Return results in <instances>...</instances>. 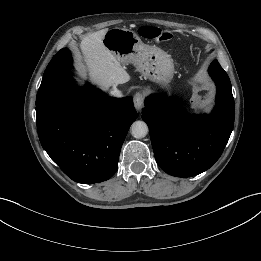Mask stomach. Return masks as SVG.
I'll return each mask as SVG.
<instances>
[{
	"mask_svg": "<svg viewBox=\"0 0 261 261\" xmlns=\"http://www.w3.org/2000/svg\"><path fill=\"white\" fill-rule=\"evenodd\" d=\"M102 41L122 65L133 64L145 78L166 91L170 90L174 65L166 52L144 44L134 31L127 28L109 29Z\"/></svg>",
	"mask_w": 261,
	"mask_h": 261,
	"instance_id": "obj_1",
	"label": "stomach"
}]
</instances>
